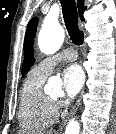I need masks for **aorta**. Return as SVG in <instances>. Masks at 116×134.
Returning <instances> with one entry per match:
<instances>
[{"mask_svg": "<svg viewBox=\"0 0 116 134\" xmlns=\"http://www.w3.org/2000/svg\"><path fill=\"white\" fill-rule=\"evenodd\" d=\"M65 38L64 29L56 22H45L38 36V46L41 52L53 54L57 52L63 44ZM49 87H61V80L51 78L48 81ZM80 124L72 119L69 121L65 134H79Z\"/></svg>", "mask_w": 116, "mask_h": 134, "instance_id": "obj_1", "label": "aorta"}]
</instances>
